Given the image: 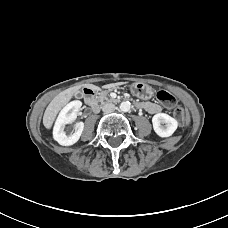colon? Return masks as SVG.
I'll list each match as a JSON object with an SVG mask.
<instances>
[{
    "instance_id": "obj_1",
    "label": "colon",
    "mask_w": 228,
    "mask_h": 228,
    "mask_svg": "<svg viewBox=\"0 0 228 228\" xmlns=\"http://www.w3.org/2000/svg\"><path fill=\"white\" fill-rule=\"evenodd\" d=\"M156 98L158 99V101L168 107H174L176 105L175 97L167 91H158L156 94ZM174 115L180 123H184L188 119V114L182 107H177L174 110Z\"/></svg>"
}]
</instances>
